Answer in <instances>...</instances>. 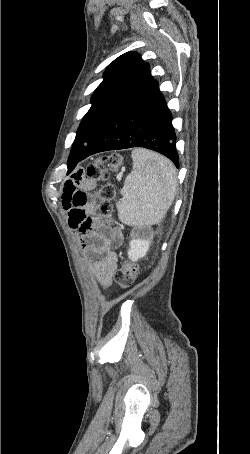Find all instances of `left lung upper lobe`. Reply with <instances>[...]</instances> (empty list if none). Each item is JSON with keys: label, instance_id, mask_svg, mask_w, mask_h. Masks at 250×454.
Listing matches in <instances>:
<instances>
[{"label": "left lung upper lobe", "instance_id": "1", "mask_svg": "<svg viewBox=\"0 0 250 454\" xmlns=\"http://www.w3.org/2000/svg\"><path fill=\"white\" fill-rule=\"evenodd\" d=\"M103 77L92 95V106L80 123L70 155L80 156L101 125L153 80L149 64L136 52H127L115 59Z\"/></svg>", "mask_w": 250, "mask_h": 454}]
</instances>
